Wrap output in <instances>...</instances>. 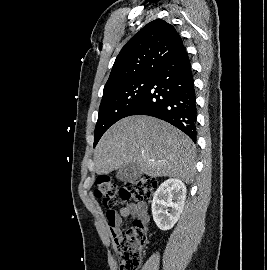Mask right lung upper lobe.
I'll list each match as a JSON object with an SVG mask.
<instances>
[{
	"mask_svg": "<svg viewBox=\"0 0 267 270\" xmlns=\"http://www.w3.org/2000/svg\"><path fill=\"white\" fill-rule=\"evenodd\" d=\"M183 46L175 28L162 19L145 25L118 54L104 90L126 81L153 76Z\"/></svg>",
	"mask_w": 267,
	"mask_h": 270,
	"instance_id": "right-lung-upper-lobe-1",
	"label": "right lung upper lobe"
}]
</instances>
